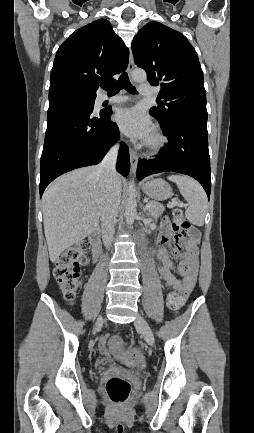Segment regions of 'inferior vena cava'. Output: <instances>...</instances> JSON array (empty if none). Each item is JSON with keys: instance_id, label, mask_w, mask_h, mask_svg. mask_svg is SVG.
Segmentation results:
<instances>
[{"instance_id": "602c4592", "label": "inferior vena cava", "mask_w": 254, "mask_h": 433, "mask_svg": "<svg viewBox=\"0 0 254 433\" xmlns=\"http://www.w3.org/2000/svg\"><path fill=\"white\" fill-rule=\"evenodd\" d=\"M118 149L119 144L114 145L98 165V169L105 175L107 189L106 201L101 215L102 239L106 247L112 243L115 219L121 201V182L115 169Z\"/></svg>"}]
</instances>
